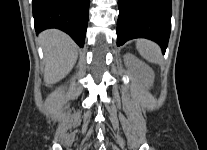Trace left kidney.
I'll list each match as a JSON object with an SVG mask.
<instances>
[{
	"instance_id": "left-kidney-1",
	"label": "left kidney",
	"mask_w": 207,
	"mask_h": 150,
	"mask_svg": "<svg viewBox=\"0 0 207 150\" xmlns=\"http://www.w3.org/2000/svg\"><path fill=\"white\" fill-rule=\"evenodd\" d=\"M125 59L127 63H133V64L138 63V61L131 55H126ZM141 72L146 80L147 85L151 86L154 81V72L152 71V69L147 65H143Z\"/></svg>"
}]
</instances>
